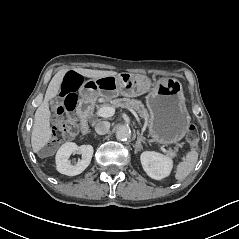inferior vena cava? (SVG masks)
<instances>
[{
  "label": "inferior vena cava",
  "mask_w": 239,
  "mask_h": 239,
  "mask_svg": "<svg viewBox=\"0 0 239 239\" xmlns=\"http://www.w3.org/2000/svg\"><path fill=\"white\" fill-rule=\"evenodd\" d=\"M109 129H110V124L108 122H105V121L98 122L95 125V132L99 135L107 134Z\"/></svg>",
  "instance_id": "inferior-vena-cava-1"
}]
</instances>
